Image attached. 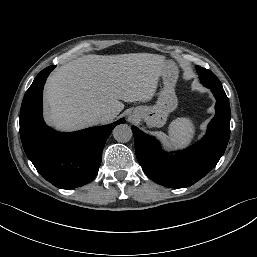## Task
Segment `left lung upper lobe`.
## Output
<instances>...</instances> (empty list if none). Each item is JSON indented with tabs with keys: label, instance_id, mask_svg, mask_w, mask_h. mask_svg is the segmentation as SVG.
<instances>
[{
	"label": "left lung upper lobe",
	"instance_id": "left-lung-upper-lobe-1",
	"mask_svg": "<svg viewBox=\"0 0 257 257\" xmlns=\"http://www.w3.org/2000/svg\"><path fill=\"white\" fill-rule=\"evenodd\" d=\"M196 70L203 85L210 89H223L219 79L210 70L204 69L200 66H196Z\"/></svg>",
	"mask_w": 257,
	"mask_h": 257
}]
</instances>
